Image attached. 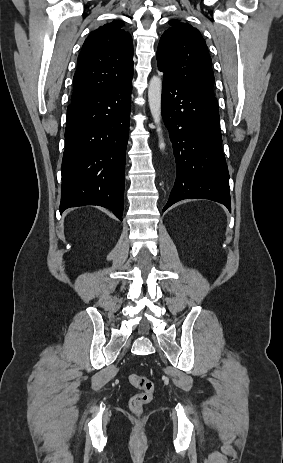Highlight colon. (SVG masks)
Listing matches in <instances>:
<instances>
[{
  "label": "colon",
  "instance_id": "obj_1",
  "mask_svg": "<svg viewBox=\"0 0 283 463\" xmlns=\"http://www.w3.org/2000/svg\"><path fill=\"white\" fill-rule=\"evenodd\" d=\"M129 381L139 390V393L130 399L129 407L134 414L140 415L144 406L154 399L155 385L148 377L137 374H131Z\"/></svg>",
  "mask_w": 283,
  "mask_h": 463
}]
</instances>
